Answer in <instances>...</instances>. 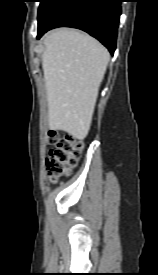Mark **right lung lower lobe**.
Segmentation results:
<instances>
[{
	"label": "right lung lower lobe",
	"mask_w": 158,
	"mask_h": 275,
	"mask_svg": "<svg viewBox=\"0 0 158 275\" xmlns=\"http://www.w3.org/2000/svg\"><path fill=\"white\" fill-rule=\"evenodd\" d=\"M122 0H58L38 22L39 39L56 27H74L89 33L108 48H116Z\"/></svg>",
	"instance_id": "1"
}]
</instances>
